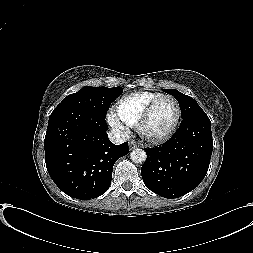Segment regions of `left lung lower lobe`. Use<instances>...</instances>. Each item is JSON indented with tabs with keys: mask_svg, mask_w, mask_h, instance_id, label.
Wrapping results in <instances>:
<instances>
[{
	"mask_svg": "<svg viewBox=\"0 0 253 253\" xmlns=\"http://www.w3.org/2000/svg\"><path fill=\"white\" fill-rule=\"evenodd\" d=\"M213 150L211 122L206 114L184 119L162 146L146 148L141 168L146 187L169 199L181 197L204 179Z\"/></svg>",
	"mask_w": 253,
	"mask_h": 253,
	"instance_id": "0a47b994",
	"label": "left lung lower lobe"
}]
</instances>
